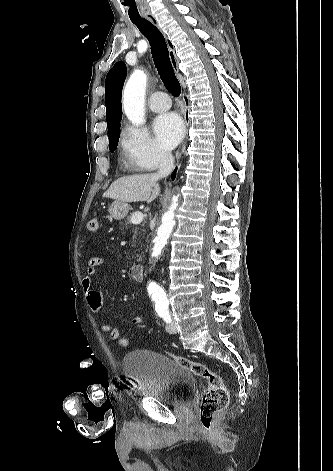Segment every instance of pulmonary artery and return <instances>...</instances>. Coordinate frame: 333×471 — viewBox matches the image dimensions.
I'll use <instances>...</instances> for the list:
<instances>
[{"label":"pulmonary artery","mask_w":333,"mask_h":471,"mask_svg":"<svg viewBox=\"0 0 333 471\" xmlns=\"http://www.w3.org/2000/svg\"><path fill=\"white\" fill-rule=\"evenodd\" d=\"M149 107L154 112H163L170 108L171 101L164 92H155L149 98Z\"/></svg>","instance_id":"1"}]
</instances>
